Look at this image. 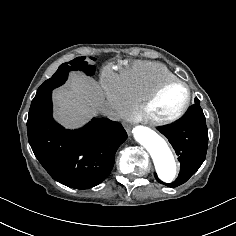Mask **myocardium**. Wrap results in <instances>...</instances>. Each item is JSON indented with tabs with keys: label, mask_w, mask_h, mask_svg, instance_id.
<instances>
[{
	"label": "myocardium",
	"mask_w": 236,
	"mask_h": 236,
	"mask_svg": "<svg viewBox=\"0 0 236 236\" xmlns=\"http://www.w3.org/2000/svg\"><path fill=\"white\" fill-rule=\"evenodd\" d=\"M172 85H181L186 90V99L183 104V106L176 112L174 115H172L169 118L166 119H158L153 117L150 114V109L152 105L155 103L157 98L161 95V93L169 86ZM192 102V91L190 86L180 79H168L160 82L155 88H153L144 98L143 100L138 104V111L141 116V121L149 125L151 127L155 128H161L166 127L169 125H172L182 119L185 114L189 111L191 107Z\"/></svg>",
	"instance_id": "obj_1"
}]
</instances>
